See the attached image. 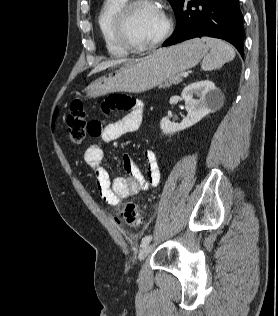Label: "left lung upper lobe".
Segmentation results:
<instances>
[{"mask_svg": "<svg viewBox=\"0 0 278 316\" xmlns=\"http://www.w3.org/2000/svg\"><path fill=\"white\" fill-rule=\"evenodd\" d=\"M182 2H183V0H169V3L173 8L176 17L178 15L179 8H180Z\"/></svg>", "mask_w": 278, "mask_h": 316, "instance_id": "obj_1", "label": "left lung upper lobe"}]
</instances>
